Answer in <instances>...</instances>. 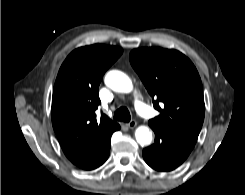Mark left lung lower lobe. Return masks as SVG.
<instances>
[{
	"mask_svg": "<svg viewBox=\"0 0 245 195\" xmlns=\"http://www.w3.org/2000/svg\"><path fill=\"white\" fill-rule=\"evenodd\" d=\"M153 130L156 134L155 143L143 150V158L157 171H172L186 160L196 140L172 130Z\"/></svg>",
	"mask_w": 245,
	"mask_h": 195,
	"instance_id": "left-lung-lower-lobe-1",
	"label": "left lung lower lobe"
}]
</instances>
